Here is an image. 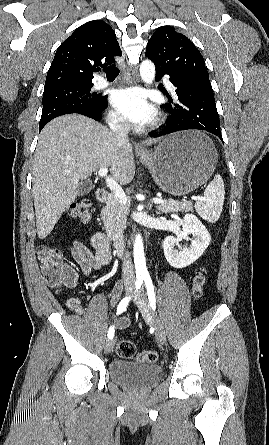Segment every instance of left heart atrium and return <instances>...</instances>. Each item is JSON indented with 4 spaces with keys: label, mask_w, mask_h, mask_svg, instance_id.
<instances>
[{
    "label": "left heart atrium",
    "mask_w": 269,
    "mask_h": 445,
    "mask_svg": "<svg viewBox=\"0 0 269 445\" xmlns=\"http://www.w3.org/2000/svg\"><path fill=\"white\" fill-rule=\"evenodd\" d=\"M111 100L123 117L134 125H146L153 118V109L137 89H118L113 93Z\"/></svg>",
    "instance_id": "39dd6f15"
}]
</instances>
